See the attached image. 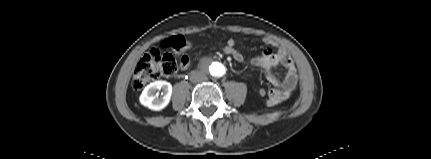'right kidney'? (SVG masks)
Masks as SVG:
<instances>
[{"label":"right kidney","mask_w":431,"mask_h":159,"mask_svg":"<svg viewBox=\"0 0 431 159\" xmlns=\"http://www.w3.org/2000/svg\"><path fill=\"white\" fill-rule=\"evenodd\" d=\"M162 90L159 97L158 91ZM172 95V85L167 81H155L147 85L142 91L140 103L151 110L160 111L170 102Z\"/></svg>","instance_id":"1"}]
</instances>
